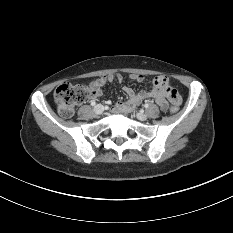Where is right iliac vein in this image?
I'll return each instance as SVG.
<instances>
[{
  "mask_svg": "<svg viewBox=\"0 0 233 233\" xmlns=\"http://www.w3.org/2000/svg\"><path fill=\"white\" fill-rule=\"evenodd\" d=\"M104 111V107L101 104H98L94 107V112L96 114H102Z\"/></svg>",
  "mask_w": 233,
  "mask_h": 233,
  "instance_id": "obj_1",
  "label": "right iliac vein"
}]
</instances>
